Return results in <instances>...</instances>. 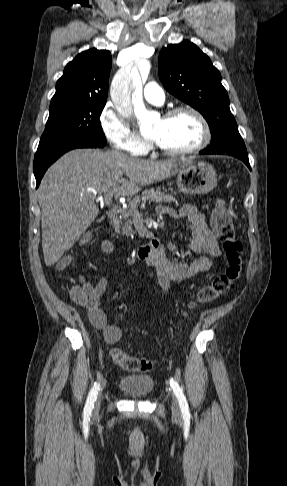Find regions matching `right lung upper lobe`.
I'll use <instances>...</instances> for the list:
<instances>
[{
	"label": "right lung upper lobe",
	"mask_w": 287,
	"mask_h": 486,
	"mask_svg": "<svg viewBox=\"0 0 287 486\" xmlns=\"http://www.w3.org/2000/svg\"><path fill=\"white\" fill-rule=\"evenodd\" d=\"M110 70L108 50L92 48L78 54L57 81L50 107L85 100L106 101Z\"/></svg>",
	"instance_id": "cb5924a9"
}]
</instances>
